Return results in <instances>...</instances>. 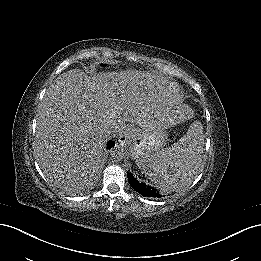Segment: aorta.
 Instances as JSON below:
<instances>
[{
	"mask_svg": "<svg viewBox=\"0 0 261 261\" xmlns=\"http://www.w3.org/2000/svg\"><path fill=\"white\" fill-rule=\"evenodd\" d=\"M112 158L115 161H122L126 158V153L124 150V145L122 143L116 144L115 147L111 150Z\"/></svg>",
	"mask_w": 261,
	"mask_h": 261,
	"instance_id": "1",
	"label": "aorta"
}]
</instances>
